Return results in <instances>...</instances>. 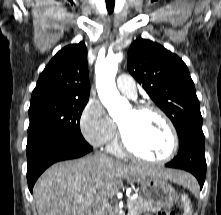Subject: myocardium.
Segmentation results:
<instances>
[{
	"mask_svg": "<svg viewBox=\"0 0 221 215\" xmlns=\"http://www.w3.org/2000/svg\"><path fill=\"white\" fill-rule=\"evenodd\" d=\"M133 111L136 113L152 112V113L157 114L162 119V121L164 122L165 126L167 127L169 131V134L171 137V148L166 156L159 158V159H153V158H149L144 155H141L140 153H138L131 147V145L129 144L125 136L123 129L121 128L120 125H118L119 142H120L121 150L130 157H133L135 159L148 162V163L163 164L172 160L178 152L179 137H178V133L176 131L174 124L172 123L170 118L167 116V114L163 110H161L159 107L154 106V105H149V104L137 105L133 108Z\"/></svg>",
	"mask_w": 221,
	"mask_h": 215,
	"instance_id": "f54148a6",
	"label": "myocardium"
}]
</instances>
